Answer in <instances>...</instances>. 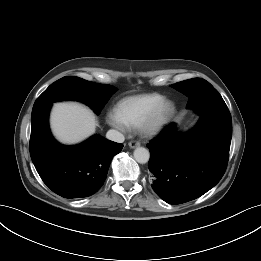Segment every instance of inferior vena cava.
<instances>
[{
	"mask_svg": "<svg viewBox=\"0 0 261 261\" xmlns=\"http://www.w3.org/2000/svg\"><path fill=\"white\" fill-rule=\"evenodd\" d=\"M106 138L117 143H123L125 140L124 135L116 130H109Z\"/></svg>",
	"mask_w": 261,
	"mask_h": 261,
	"instance_id": "1",
	"label": "inferior vena cava"
}]
</instances>
